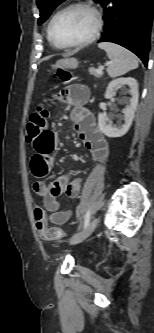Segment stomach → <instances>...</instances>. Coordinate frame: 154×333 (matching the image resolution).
<instances>
[{"label":"stomach","instance_id":"1","mask_svg":"<svg viewBox=\"0 0 154 333\" xmlns=\"http://www.w3.org/2000/svg\"><path fill=\"white\" fill-rule=\"evenodd\" d=\"M78 60L76 58H66L57 61L54 65L56 68L76 69L78 67Z\"/></svg>","mask_w":154,"mask_h":333}]
</instances>
